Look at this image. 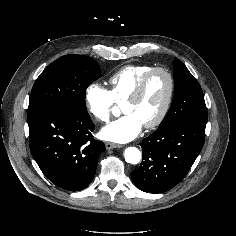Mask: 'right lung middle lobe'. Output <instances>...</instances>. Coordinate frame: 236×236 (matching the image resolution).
<instances>
[{"label":"right lung middle lobe","instance_id":"obj_1","mask_svg":"<svg viewBox=\"0 0 236 236\" xmlns=\"http://www.w3.org/2000/svg\"><path fill=\"white\" fill-rule=\"evenodd\" d=\"M98 63L86 56L65 55L52 62L36 79L28 111L50 108L87 113V87L100 78Z\"/></svg>","mask_w":236,"mask_h":236}]
</instances>
